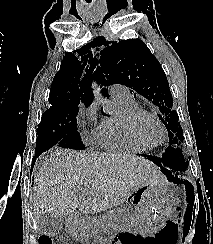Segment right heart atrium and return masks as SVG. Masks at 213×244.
<instances>
[{
  "mask_svg": "<svg viewBox=\"0 0 213 244\" xmlns=\"http://www.w3.org/2000/svg\"><path fill=\"white\" fill-rule=\"evenodd\" d=\"M80 134L87 143L95 141V131L92 130L97 121V108L94 104L80 110L78 117Z\"/></svg>",
  "mask_w": 213,
  "mask_h": 244,
  "instance_id": "right-heart-atrium-1",
  "label": "right heart atrium"
}]
</instances>
